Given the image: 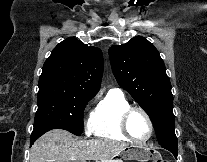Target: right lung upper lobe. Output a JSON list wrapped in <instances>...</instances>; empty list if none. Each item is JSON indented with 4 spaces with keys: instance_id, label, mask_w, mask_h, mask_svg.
<instances>
[{
    "instance_id": "right-lung-upper-lobe-1",
    "label": "right lung upper lobe",
    "mask_w": 207,
    "mask_h": 162,
    "mask_svg": "<svg viewBox=\"0 0 207 162\" xmlns=\"http://www.w3.org/2000/svg\"><path fill=\"white\" fill-rule=\"evenodd\" d=\"M103 56L97 47H88L71 37L59 43L45 61L39 89H58L94 96L101 84Z\"/></svg>"
}]
</instances>
